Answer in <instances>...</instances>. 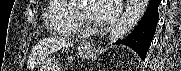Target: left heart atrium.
I'll use <instances>...</instances> for the list:
<instances>
[{
  "label": "left heart atrium",
  "mask_w": 181,
  "mask_h": 71,
  "mask_svg": "<svg viewBox=\"0 0 181 71\" xmlns=\"http://www.w3.org/2000/svg\"><path fill=\"white\" fill-rule=\"evenodd\" d=\"M120 11V0H101L96 7L95 21L102 24L112 22ZM90 16V10H89Z\"/></svg>",
  "instance_id": "obj_1"
}]
</instances>
